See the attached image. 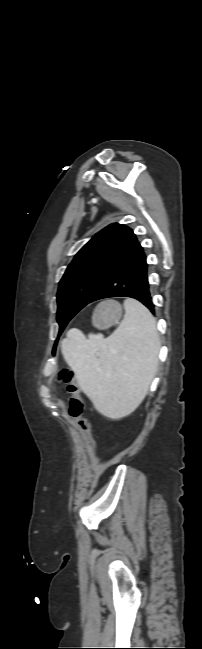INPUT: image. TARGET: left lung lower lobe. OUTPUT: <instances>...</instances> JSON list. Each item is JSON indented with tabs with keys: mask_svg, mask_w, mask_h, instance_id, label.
Here are the masks:
<instances>
[{
	"mask_svg": "<svg viewBox=\"0 0 202 649\" xmlns=\"http://www.w3.org/2000/svg\"><path fill=\"white\" fill-rule=\"evenodd\" d=\"M147 272L146 255L136 240L99 287L91 302L109 297H131L142 302L154 314L155 306L149 292Z\"/></svg>",
	"mask_w": 202,
	"mask_h": 649,
	"instance_id": "1",
	"label": "left lung lower lobe"
}]
</instances>
